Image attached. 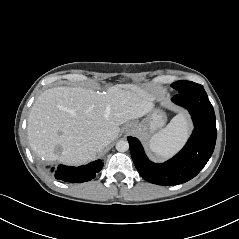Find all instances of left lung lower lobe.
<instances>
[{"label": "left lung lower lobe", "instance_id": "obj_1", "mask_svg": "<svg viewBox=\"0 0 239 239\" xmlns=\"http://www.w3.org/2000/svg\"><path fill=\"white\" fill-rule=\"evenodd\" d=\"M172 101L191 114L194 131L184 148L162 164L151 162L138 141L128 137L130 153L140 175L157 185H177L195 177L211 157L216 143V119L212 104L203 88L178 93Z\"/></svg>", "mask_w": 239, "mask_h": 239}]
</instances>
